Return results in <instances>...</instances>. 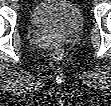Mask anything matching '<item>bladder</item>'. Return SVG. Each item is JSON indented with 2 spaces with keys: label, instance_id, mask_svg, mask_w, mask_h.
Listing matches in <instances>:
<instances>
[{
  "label": "bladder",
  "instance_id": "31cf9c89",
  "mask_svg": "<svg viewBox=\"0 0 111 106\" xmlns=\"http://www.w3.org/2000/svg\"><path fill=\"white\" fill-rule=\"evenodd\" d=\"M31 24L41 30L73 34L83 28L84 18L79 8L68 0H42L30 13Z\"/></svg>",
  "mask_w": 111,
  "mask_h": 106
}]
</instances>
